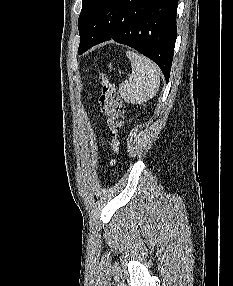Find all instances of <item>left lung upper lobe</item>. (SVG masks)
Here are the masks:
<instances>
[{"label":"left lung upper lobe","mask_w":233,"mask_h":286,"mask_svg":"<svg viewBox=\"0 0 233 286\" xmlns=\"http://www.w3.org/2000/svg\"><path fill=\"white\" fill-rule=\"evenodd\" d=\"M95 2L96 0H82V10L78 18L79 33L83 30Z\"/></svg>","instance_id":"obj_1"}]
</instances>
